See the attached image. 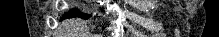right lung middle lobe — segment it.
<instances>
[{"instance_id": "dd1d6c3e", "label": "right lung middle lobe", "mask_w": 219, "mask_h": 37, "mask_svg": "<svg viewBox=\"0 0 219 37\" xmlns=\"http://www.w3.org/2000/svg\"><path fill=\"white\" fill-rule=\"evenodd\" d=\"M81 17L83 19H89L91 15L84 14L80 12L78 9H72L70 12L65 14V17Z\"/></svg>"}]
</instances>
